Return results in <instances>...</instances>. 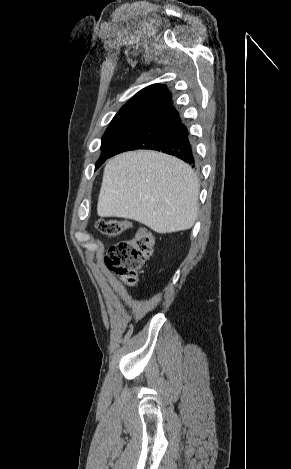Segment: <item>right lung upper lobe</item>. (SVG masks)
<instances>
[{
	"instance_id": "1",
	"label": "right lung upper lobe",
	"mask_w": 291,
	"mask_h": 469,
	"mask_svg": "<svg viewBox=\"0 0 291 469\" xmlns=\"http://www.w3.org/2000/svg\"><path fill=\"white\" fill-rule=\"evenodd\" d=\"M172 105V94L165 85H150L134 95L118 113L137 112L151 116Z\"/></svg>"
}]
</instances>
